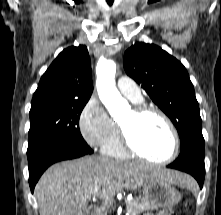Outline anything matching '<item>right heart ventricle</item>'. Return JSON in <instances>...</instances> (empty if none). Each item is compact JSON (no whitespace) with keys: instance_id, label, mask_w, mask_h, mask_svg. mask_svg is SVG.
Here are the masks:
<instances>
[{"instance_id":"obj_1","label":"right heart ventricle","mask_w":221,"mask_h":215,"mask_svg":"<svg viewBox=\"0 0 221 215\" xmlns=\"http://www.w3.org/2000/svg\"><path fill=\"white\" fill-rule=\"evenodd\" d=\"M114 126V133L112 137L104 145H102V151L117 159H128L129 155L126 153L121 143L119 126L115 122Z\"/></svg>"}]
</instances>
